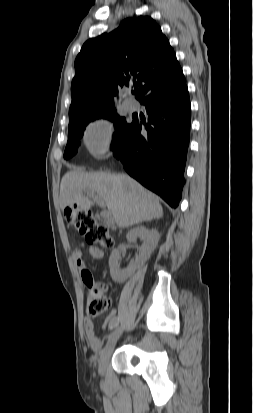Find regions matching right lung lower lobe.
I'll list each match as a JSON object with an SVG mask.
<instances>
[{
	"label": "right lung lower lobe",
	"instance_id": "right-lung-lower-lobe-1",
	"mask_svg": "<svg viewBox=\"0 0 253 413\" xmlns=\"http://www.w3.org/2000/svg\"><path fill=\"white\" fill-rule=\"evenodd\" d=\"M146 106L147 134L133 121L114 148L128 174L176 208L181 199L189 145L191 107L187 86L175 94L157 96Z\"/></svg>",
	"mask_w": 253,
	"mask_h": 413
}]
</instances>
